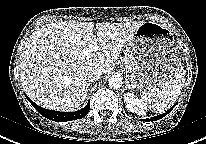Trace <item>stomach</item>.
Masks as SVG:
<instances>
[{
	"label": "stomach",
	"mask_w": 206,
	"mask_h": 144,
	"mask_svg": "<svg viewBox=\"0 0 206 144\" xmlns=\"http://www.w3.org/2000/svg\"><path fill=\"white\" fill-rule=\"evenodd\" d=\"M125 51L132 68L129 80L139 90L161 85L180 65L179 48L171 31L156 22H143Z\"/></svg>",
	"instance_id": "obj_1"
}]
</instances>
